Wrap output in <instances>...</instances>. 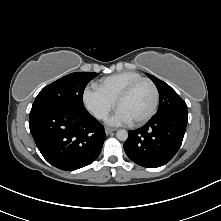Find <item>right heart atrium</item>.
I'll return each instance as SVG.
<instances>
[{
    "mask_svg": "<svg viewBox=\"0 0 221 221\" xmlns=\"http://www.w3.org/2000/svg\"><path fill=\"white\" fill-rule=\"evenodd\" d=\"M83 103L98 120H105L115 106V102L104 95L97 87L85 88Z\"/></svg>",
    "mask_w": 221,
    "mask_h": 221,
    "instance_id": "obj_1",
    "label": "right heart atrium"
}]
</instances>
